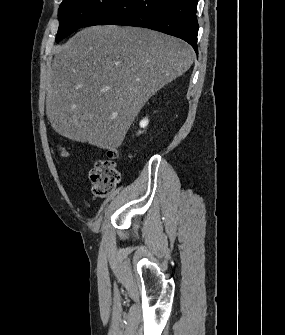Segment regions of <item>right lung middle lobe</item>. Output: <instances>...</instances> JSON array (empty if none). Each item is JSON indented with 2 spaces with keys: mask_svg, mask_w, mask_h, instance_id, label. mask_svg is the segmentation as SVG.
Returning a JSON list of instances; mask_svg holds the SVG:
<instances>
[{
  "mask_svg": "<svg viewBox=\"0 0 285 335\" xmlns=\"http://www.w3.org/2000/svg\"><path fill=\"white\" fill-rule=\"evenodd\" d=\"M113 2L115 0H63L58 11L60 24L56 42L82 27Z\"/></svg>",
  "mask_w": 285,
  "mask_h": 335,
  "instance_id": "right-lung-middle-lobe-1",
  "label": "right lung middle lobe"
}]
</instances>
